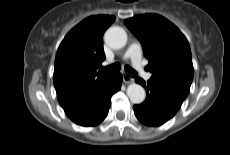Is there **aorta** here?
<instances>
[{
  "label": "aorta",
  "mask_w": 230,
  "mask_h": 155,
  "mask_svg": "<svg viewBox=\"0 0 230 155\" xmlns=\"http://www.w3.org/2000/svg\"><path fill=\"white\" fill-rule=\"evenodd\" d=\"M106 44L113 49H121L127 43V34L121 27H110L104 35ZM127 96L134 104H140L145 100L146 93L144 88L136 83H132L127 87Z\"/></svg>",
  "instance_id": "obj_1"
}]
</instances>
